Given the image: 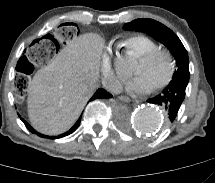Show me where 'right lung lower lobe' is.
I'll list each match as a JSON object with an SVG mask.
<instances>
[{
    "label": "right lung lower lobe",
    "mask_w": 215,
    "mask_h": 183,
    "mask_svg": "<svg viewBox=\"0 0 215 183\" xmlns=\"http://www.w3.org/2000/svg\"><path fill=\"white\" fill-rule=\"evenodd\" d=\"M111 97H112L111 94L107 93L104 89L100 88V89H98V90L95 92V94L92 96L91 100H93V99H99V98H111ZM80 120H81V117L77 120V122L75 123V125H74L68 132H66V133H64V134H61V135H59V136H51V137H49V138H51V139L61 138V137H64V136L69 135L70 133H73V132L78 128V126H79V124H80ZM22 121L24 122V124H25V126L28 128V130H30L32 133H35V134H37V135H39V136H41V137H46V136H44V135L38 133L36 130H34V129H33L26 121H24L23 119H22Z\"/></svg>",
    "instance_id": "obj_1"
}]
</instances>
